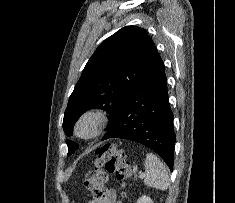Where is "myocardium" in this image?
<instances>
[{
	"label": "myocardium",
	"instance_id": "obj_1",
	"mask_svg": "<svg viewBox=\"0 0 235 203\" xmlns=\"http://www.w3.org/2000/svg\"><path fill=\"white\" fill-rule=\"evenodd\" d=\"M107 117V113L100 108H92L84 111L76 120V135L84 140H91L98 137L106 125ZM85 123L90 124V131L88 133L82 132V126Z\"/></svg>",
	"mask_w": 235,
	"mask_h": 203
}]
</instances>
